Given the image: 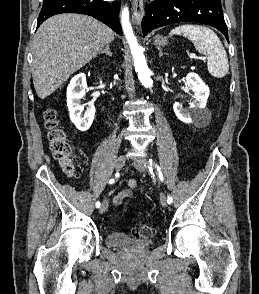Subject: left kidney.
Segmentation results:
<instances>
[{"label": "left kidney", "instance_id": "obj_1", "mask_svg": "<svg viewBox=\"0 0 259 294\" xmlns=\"http://www.w3.org/2000/svg\"><path fill=\"white\" fill-rule=\"evenodd\" d=\"M187 87L194 92V101L189 109H184L181 103H174V113L184 123H197L206 107L209 96V87L196 73H188L186 76Z\"/></svg>", "mask_w": 259, "mask_h": 294}]
</instances>
